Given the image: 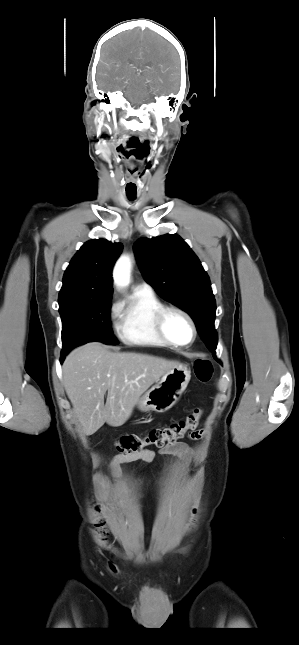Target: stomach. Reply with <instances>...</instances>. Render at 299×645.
<instances>
[{
    "mask_svg": "<svg viewBox=\"0 0 299 645\" xmlns=\"http://www.w3.org/2000/svg\"><path fill=\"white\" fill-rule=\"evenodd\" d=\"M191 378L187 367L178 365L169 370L161 380L143 394L137 402L142 412H166L179 400Z\"/></svg>",
    "mask_w": 299,
    "mask_h": 645,
    "instance_id": "0dacf381",
    "label": "stomach"
}]
</instances>
